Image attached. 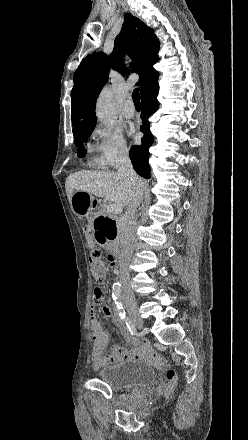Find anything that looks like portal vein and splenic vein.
I'll list each match as a JSON object with an SVG mask.
<instances>
[{"label":"portal vein and splenic vein","mask_w":248,"mask_h":440,"mask_svg":"<svg viewBox=\"0 0 248 440\" xmlns=\"http://www.w3.org/2000/svg\"><path fill=\"white\" fill-rule=\"evenodd\" d=\"M107 212L111 214H119L122 212V206L116 203L109 204L107 207Z\"/></svg>","instance_id":"1"}]
</instances>
